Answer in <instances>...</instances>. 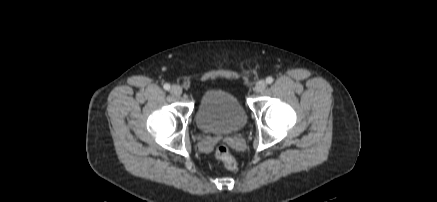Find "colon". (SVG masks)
Returning a JSON list of instances; mask_svg holds the SVG:
<instances>
[{
	"label": "colon",
	"mask_w": 437,
	"mask_h": 202,
	"mask_svg": "<svg viewBox=\"0 0 437 202\" xmlns=\"http://www.w3.org/2000/svg\"><path fill=\"white\" fill-rule=\"evenodd\" d=\"M215 158L220 161L227 169L237 168V160L225 144H220L215 150Z\"/></svg>",
	"instance_id": "1"
}]
</instances>
